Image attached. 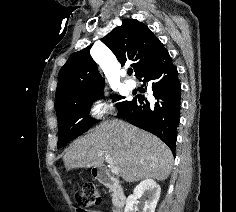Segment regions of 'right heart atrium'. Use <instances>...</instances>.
<instances>
[{
  "instance_id": "right-heart-atrium-1",
  "label": "right heart atrium",
  "mask_w": 236,
  "mask_h": 212,
  "mask_svg": "<svg viewBox=\"0 0 236 212\" xmlns=\"http://www.w3.org/2000/svg\"><path fill=\"white\" fill-rule=\"evenodd\" d=\"M114 109L112 100L96 99L91 103L89 113L93 119H102L106 115L112 114Z\"/></svg>"
}]
</instances>
